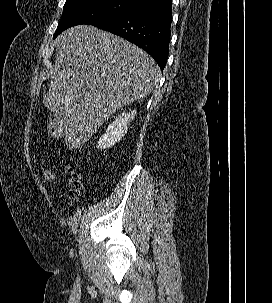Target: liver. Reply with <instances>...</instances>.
<instances>
[{
    "mask_svg": "<svg viewBox=\"0 0 272 303\" xmlns=\"http://www.w3.org/2000/svg\"><path fill=\"white\" fill-rule=\"evenodd\" d=\"M54 62L43 103L72 149L84 145L123 106L149 95L161 76L145 51L91 25L59 35Z\"/></svg>",
    "mask_w": 272,
    "mask_h": 303,
    "instance_id": "6515ba94",
    "label": "liver"
}]
</instances>
